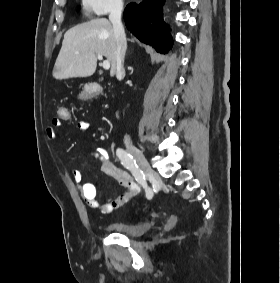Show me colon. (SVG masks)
<instances>
[{
	"instance_id": "obj_1",
	"label": "colon",
	"mask_w": 280,
	"mask_h": 283,
	"mask_svg": "<svg viewBox=\"0 0 280 283\" xmlns=\"http://www.w3.org/2000/svg\"><path fill=\"white\" fill-rule=\"evenodd\" d=\"M103 92V87H83V94H79L78 98L82 99L83 97H94ZM73 115L72 108H67V105H60L57 112L58 122H69L71 116Z\"/></svg>"
}]
</instances>
